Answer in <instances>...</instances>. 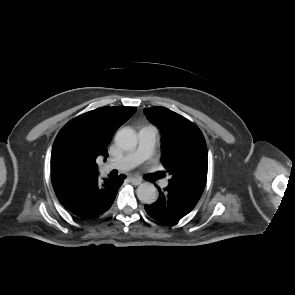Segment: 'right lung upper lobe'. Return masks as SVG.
<instances>
[{
	"mask_svg": "<svg viewBox=\"0 0 295 295\" xmlns=\"http://www.w3.org/2000/svg\"><path fill=\"white\" fill-rule=\"evenodd\" d=\"M136 110L134 107H100L69 121L53 143L52 181L97 175L96 159H106V148L114 133Z\"/></svg>",
	"mask_w": 295,
	"mask_h": 295,
	"instance_id": "cb5924a9",
	"label": "right lung upper lobe"
}]
</instances>
